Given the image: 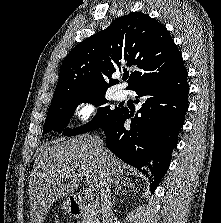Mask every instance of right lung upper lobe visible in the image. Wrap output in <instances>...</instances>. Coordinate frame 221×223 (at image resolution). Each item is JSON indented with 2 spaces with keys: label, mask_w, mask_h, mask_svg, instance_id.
Masks as SVG:
<instances>
[{
  "label": "right lung upper lobe",
  "mask_w": 221,
  "mask_h": 223,
  "mask_svg": "<svg viewBox=\"0 0 221 223\" xmlns=\"http://www.w3.org/2000/svg\"><path fill=\"white\" fill-rule=\"evenodd\" d=\"M121 66L134 67L127 89L179 73L182 56L168 30L149 15L132 12L74 47L62 62L53 101L106 92L107 78Z\"/></svg>",
  "instance_id": "cb5924a9"
}]
</instances>
